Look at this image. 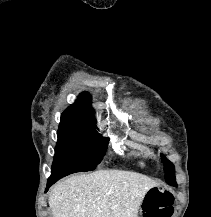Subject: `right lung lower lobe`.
Instances as JSON below:
<instances>
[{
    "instance_id": "1",
    "label": "right lung lower lobe",
    "mask_w": 211,
    "mask_h": 217,
    "mask_svg": "<svg viewBox=\"0 0 211 217\" xmlns=\"http://www.w3.org/2000/svg\"><path fill=\"white\" fill-rule=\"evenodd\" d=\"M58 180H59L58 178H56V179H49L48 183H47L46 191L51 187V185H53Z\"/></svg>"
}]
</instances>
